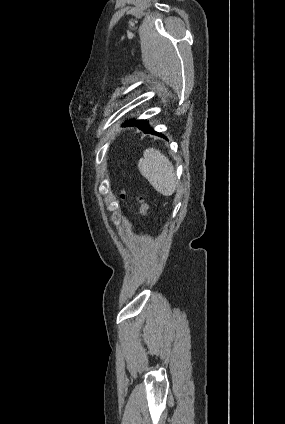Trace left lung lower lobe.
<instances>
[{"instance_id":"left-lung-lower-lobe-1","label":"left lung lower lobe","mask_w":285,"mask_h":424,"mask_svg":"<svg viewBox=\"0 0 285 424\" xmlns=\"http://www.w3.org/2000/svg\"><path fill=\"white\" fill-rule=\"evenodd\" d=\"M125 125H135L139 129L143 130L145 133H152L165 138L164 135L155 132L151 127H149L146 120H130L126 121Z\"/></svg>"}]
</instances>
